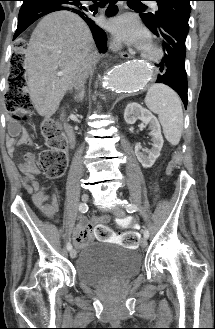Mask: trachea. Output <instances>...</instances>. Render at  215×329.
Returning <instances> with one entry per match:
<instances>
[{
    "label": "trachea",
    "mask_w": 215,
    "mask_h": 329,
    "mask_svg": "<svg viewBox=\"0 0 215 329\" xmlns=\"http://www.w3.org/2000/svg\"><path fill=\"white\" fill-rule=\"evenodd\" d=\"M128 1H129L128 4H137L139 6H144L143 4H139V3L135 2V0H128Z\"/></svg>",
    "instance_id": "obj_1"
}]
</instances>
